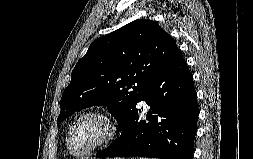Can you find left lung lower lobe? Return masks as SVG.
<instances>
[{
    "mask_svg": "<svg viewBox=\"0 0 253 159\" xmlns=\"http://www.w3.org/2000/svg\"><path fill=\"white\" fill-rule=\"evenodd\" d=\"M150 108L146 120L132 109L121 136L97 157L193 159L197 132V94L185 59L178 51L145 87L139 102ZM138 102V103H139Z\"/></svg>",
    "mask_w": 253,
    "mask_h": 159,
    "instance_id": "0a47b994",
    "label": "left lung lower lobe"
}]
</instances>
